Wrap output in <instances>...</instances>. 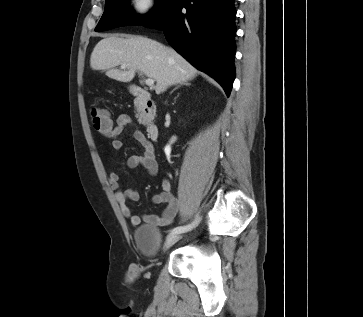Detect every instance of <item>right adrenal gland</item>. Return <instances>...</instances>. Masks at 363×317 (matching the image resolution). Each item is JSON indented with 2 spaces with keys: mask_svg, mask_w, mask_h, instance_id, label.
<instances>
[{
  "mask_svg": "<svg viewBox=\"0 0 363 317\" xmlns=\"http://www.w3.org/2000/svg\"><path fill=\"white\" fill-rule=\"evenodd\" d=\"M182 85H186V86H190L191 84L189 83V82H187V81H185V82H182V83H180L179 85H177L171 92H170V94H172L176 89H178L180 86H182Z\"/></svg>",
  "mask_w": 363,
  "mask_h": 317,
  "instance_id": "right-adrenal-gland-1",
  "label": "right adrenal gland"
}]
</instances>
